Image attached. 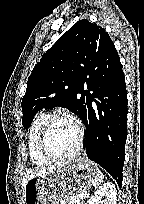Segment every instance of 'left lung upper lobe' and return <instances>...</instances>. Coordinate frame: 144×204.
I'll return each mask as SVG.
<instances>
[{"label":"left lung upper lobe","instance_id":"5c2ea615","mask_svg":"<svg viewBox=\"0 0 144 204\" xmlns=\"http://www.w3.org/2000/svg\"><path fill=\"white\" fill-rule=\"evenodd\" d=\"M117 59L105 29L88 20L75 23L44 53L29 76L21 102L22 125L28 129L39 110L54 106L66 107L83 120L88 68Z\"/></svg>","mask_w":144,"mask_h":204}]
</instances>
